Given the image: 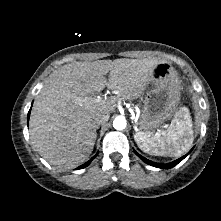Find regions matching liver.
Instances as JSON below:
<instances>
[{
  "instance_id": "6515ba94",
  "label": "liver",
  "mask_w": 221,
  "mask_h": 221,
  "mask_svg": "<svg viewBox=\"0 0 221 221\" xmlns=\"http://www.w3.org/2000/svg\"><path fill=\"white\" fill-rule=\"evenodd\" d=\"M156 59H115L74 62L53 71L31 112L30 139L51 165L74 168L92 153L93 116L109 115L116 99L96 101L90 95L106 86L121 99L134 100L146 90ZM109 73L107 81L105 75Z\"/></svg>"
}]
</instances>
